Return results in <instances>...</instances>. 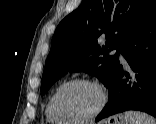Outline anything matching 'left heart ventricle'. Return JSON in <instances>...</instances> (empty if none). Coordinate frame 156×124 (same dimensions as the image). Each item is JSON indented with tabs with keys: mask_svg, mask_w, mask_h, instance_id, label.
Wrapping results in <instances>:
<instances>
[{
	"mask_svg": "<svg viewBox=\"0 0 156 124\" xmlns=\"http://www.w3.org/2000/svg\"><path fill=\"white\" fill-rule=\"evenodd\" d=\"M100 103L98 90L87 84L67 88L59 98V108L67 116L84 118L92 114Z\"/></svg>",
	"mask_w": 156,
	"mask_h": 124,
	"instance_id": "b2bd125f",
	"label": "left heart ventricle"
}]
</instances>
